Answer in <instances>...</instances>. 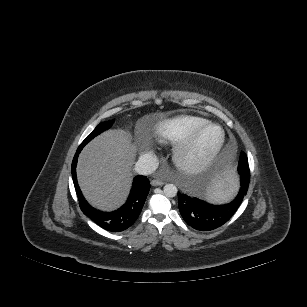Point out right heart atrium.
Segmentation results:
<instances>
[{
    "instance_id": "obj_1",
    "label": "right heart atrium",
    "mask_w": 307,
    "mask_h": 307,
    "mask_svg": "<svg viewBox=\"0 0 307 307\" xmlns=\"http://www.w3.org/2000/svg\"><path fill=\"white\" fill-rule=\"evenodd\" d=\"M146 155H148V156H149V155H151V152H147V154H146Z\"/></svg>"
}]
</instances>
